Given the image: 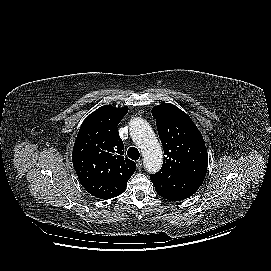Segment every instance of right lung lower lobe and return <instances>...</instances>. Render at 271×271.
I'll return each instance as SVG.
<instances>
[{"label": "right lung lower lobe", "mask_w": 271, "mask_h": 271, "mask_svg": "<svg viewBox=\"0 0 271 271\" xmlns=\"http://www.w3.org/2000/svg\"><path fill=\"white\" fill-rule=\"evenodd\" d=\"M80 183L90 194L101 199L114 198L123 193L126 188V186H121L114 182H89L85 180L80 181Z\"/></svg>", "instance_id": "98d812e1"}]
</instances>
